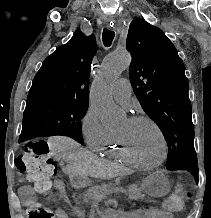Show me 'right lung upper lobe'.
<instances>
[{"mask_svg": "<svg viewBox=\"0 0 211 218\" xmlns=\"http://www.w3.org/2000/svg\"><path fill=\"white\" fill-rule=\"evenodd\" d=\"M97 46L94 35L77 30L70 41L42 63L28 93L27 103L57 100L89 103V76Z\"/></svg>", "mask_w": 211, "mask_h": 218, "instance_id": "obj_1", "label": "right lung upper lobe"}]
</instances>
